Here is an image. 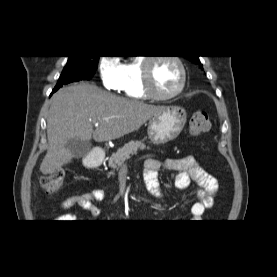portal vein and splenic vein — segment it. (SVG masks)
Wrapping results in <instances>:
<instances>
[{
    "mask_svg": "<svg viewBox=\"0 0 277 277\" xmlns=\"http://www.w3.org/2000/svg\"><path fill=\"white\" fill-rule=\"evenodd\" d=\"M94 124H95V125H98V123H96L95 121H94Z\"/></svg>",
    "mask_w": 277,
    "mask_h": 277,
    "instance_id": "portal-vein-and-splenic-vein-1",
    "label": "portal vein and splenic vein"
}]
</instances>
